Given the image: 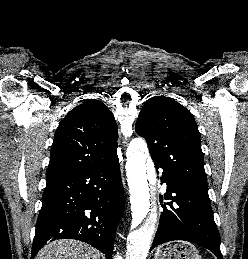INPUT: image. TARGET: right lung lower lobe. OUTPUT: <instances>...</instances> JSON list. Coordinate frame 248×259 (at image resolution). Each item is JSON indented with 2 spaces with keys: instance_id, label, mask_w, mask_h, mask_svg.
<instances>
[{
  "instance_id": "right-lung-lower-lobe-1",
  "label": "right lung lower lobe",
  "mask_w": 248,
  "mask_h": 259,
  "mask_svg": "<svg viewBox=\"0 0 248 259\" xmlns=\"http://www.w3.org/2000/svg\"><path fill=\"white\" fill-rule=\"evenodd\" d=\"M118 156L107 162L46 177L31 259L55 239H77L111 259L119 219L124 212Z\"/></svg>"
}]
</instances>
